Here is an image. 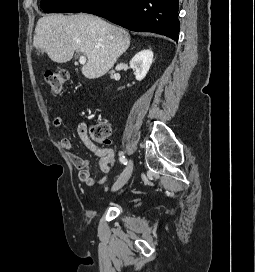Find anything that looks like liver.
Here are the masks:
<instances>
[{"label":"liver","mask_w":255,"mask_h":272,"mask_svg":"<svg viewBox=\"0 0 255 272\" xmlns=\"http://www.w3.org/2000/svg\"><path fill=\"white\" fill-rule=\"evenodd\" d=\"M33 45L57 63H66L74 51L87 56L82 74L88 79L105 75L129 48L130 35L91 14L45 15L35 28Z\"/></svg>","instance_id":"obj_1"}]
</instances>
